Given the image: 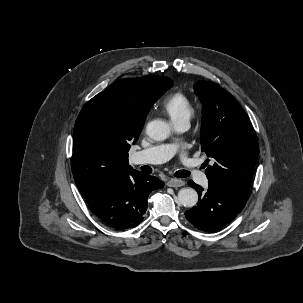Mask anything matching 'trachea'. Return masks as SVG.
Returning a JSON list of instances; mask_svg holds the SVG:
<instances>
[{"label":"trachea","mask_w":303,"mask_h":303,"mask_svg":"<svg viewBox=\"0 0 303 303\" xmlns=\"http://www.w3.org/2000/svg\"><path fill=\"white\" fill-rule=\"evenodd\" d=\"M190 175V173L186 170H179L177 171L174 176L178 178H186Z\"/></svg>","instance_id":"obj_1"}]
</instances>
